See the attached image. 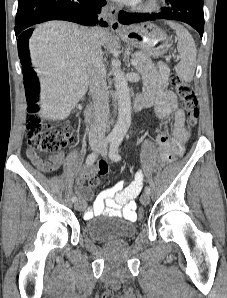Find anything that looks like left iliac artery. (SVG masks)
<instances>
[{
  "instance_id": "1",
  "label": "left iliac artery",
  "mask_w": 227,
  "mask_h": 298,
  "mask_svg": "<svg viewBox=\"0 0 227 298\" xmlns=\"http://www.w3.org/2000/svg\"><path fill=\"white\" fill-rule=\"evenodd\" d=\"M121 142H122V139L119 138V137L113 138V140L111 142L109 157L113 161H119V160H121V156L118 153L119 146H120ZM145 192L148 193V194H150V192H151L150 187L146 186L145 187Z\"/></svg>"
}]
</instances>
